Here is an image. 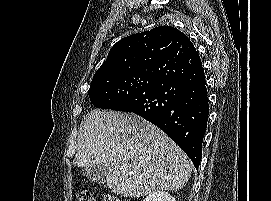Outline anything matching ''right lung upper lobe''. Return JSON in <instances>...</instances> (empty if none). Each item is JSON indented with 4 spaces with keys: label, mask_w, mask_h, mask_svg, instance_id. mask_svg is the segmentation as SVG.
Instances as JSON below:
<instances>
[{
    "label": "right lung upper lobe",
    "mask_w": 271,
    "mask_h": 201,
    "mask_svg": "<svg viewBox=\"0 0 271 201\" xmlns=\"http://www.w3.org/2000/svg\"><path fill=\"white\" fill-rule=\"evenodd\" d=\"M185 38L184 33L171 26H160L125 37L111 48L93 78L129 71H152Z\"/></svg>",
    "instance_id": "1"
}]
</instances>
